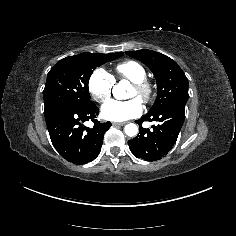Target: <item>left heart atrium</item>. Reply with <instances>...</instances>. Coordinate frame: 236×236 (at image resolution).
Segmentation results:
<instances>
[{
	"instance_id": "left-heart-atrium-1",
	"label": "left heart atrium",
	"mask_w": 236,
	"mask_h": 236,
	"mask_svg": "<svg viewBox=\"0 0 236 236\" xmlns=\"http://www.w3.org/2000/svg\"><path fill=\"white\" fill-rule=\"evenodd\" d=\"M143 110L141 102L137 99L129 101H111L101 111L105 120L122 122L138 117Z\"/></svg>"
}]
</instances>
